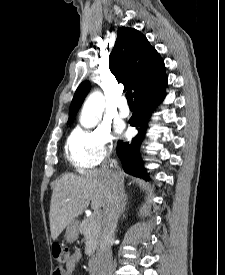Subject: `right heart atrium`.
Listing matches in <instances>:
<instances>
[{
    "label": "right heart atrium",
    "instance_id": "obj_1",
    "mask_svg": "<svg viewBox=\"0 0 225 275\" xmlns=\"http://www.w3.org/2000/svg\"><path fill=\"white\" fill-rule=\"evenodd\" d=\"M113 137L108 128L76 129L68 139L67 151L72 164L79 170L95 169L112 149Z\"/></svg>",
    "mask_w": 225,
    "mask_h": 275
}]
</instances>
